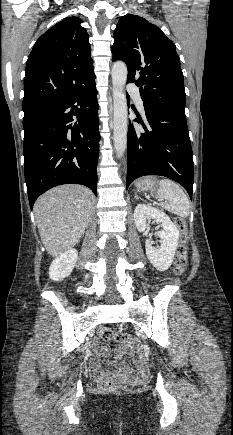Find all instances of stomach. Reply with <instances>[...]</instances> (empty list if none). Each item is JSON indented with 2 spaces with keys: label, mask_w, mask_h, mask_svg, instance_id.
<instances>
[{
  "label": "stomach",
  "mask_w": 233,
  "mask_h": 435,
  "mask_svg": "<svg viewBox=\"0 0 233 435\" xmlns=\"http://www.w3.org/2000/svg\"><path fill=\"white\" fill-rule=\"evenodd\" d=\"M140 191H150L154 193L157 190V183L155 178H145L137 182L136 184Z\"/></svg>",
  "instance_id": "obj_1"
}]
</instances>
